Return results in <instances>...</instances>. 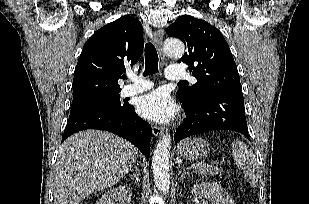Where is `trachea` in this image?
Instances as JSON below:
<instances>
[{"mask_svg": "<svg viewBox=\"0 0 309 204\" xmlns=\"http://www.w3.org/2000/svg\"><path fill=\"white\" fill-rule=\"evenodd\" d=\"M158 72V54L152 43L145 45V71L144 76ZM187 81H181L179 84H185Z\"/></svg>", "mask_w": 309, "mask_h": 204, "instance_id": "obj_1", "label": "trachea"}]
</instances>
